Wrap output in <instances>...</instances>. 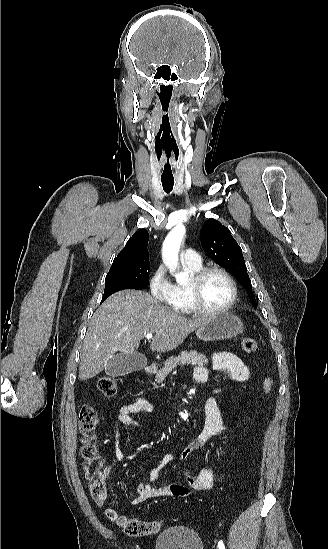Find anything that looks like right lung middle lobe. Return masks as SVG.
<instances>
[{
  "mask_svg": "<svg viewBox=\"0 0 328 549\" xmlns=\"http://www.w3.org/2000/svg\"><path fill=\"white\" fill-rule=\"evenodd\" d=\"M149 260H142L109 271L105 278L103 302L111 294L123 289H143L149 283Z\"/></svg>",
  "mask_w": 328,
  "mask_h": 549,
  "instance_id": "1",
  "label": "right lung middle lobe"
}]
</instances>
